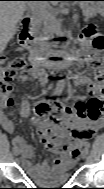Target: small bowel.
Wrapping results in <instances>:
<instances>
[{"label":"small bowel","instance_id":"c3829d8e","mask_svg":"<svg viewBox=\"0 0 104 189\" xmlns=\"http://www.w3.org/2000/svg\"><path fill=\"white\" fill-rule=\"evenodd\" d=\"M29 74L36 77L40 74V70L33 67L23 71L20 78L22 81H26ZM72 80L77 84L87 85L88 92L95 97L90 100H101L103 94V85L98 80H92L84 75H75ZM66 88L65 84H59L56 87L55 94H61ZM89 100V101H90ZM88 102V101H87ZM86 101L79 100L76 103L67 107H62L61 103H53V106L60 108H68L69 111L61 114L59 117H54L51 120H39L40 129H44L49 125H55L61 132V136H58L64 140L62 147H54L47 145V148L54 153V156L49 162H45L38 165H33L31 159L33 157V148L26 142L22 136H15L13 142L16 143L22 156V162L25 168L34 175H40L50 166H67L69 167L74 161L79 158L81 149L85 143V140L92 138L94 133L102 126V114L99 117H95L92 114L88 115L86 109ZM39 106H50L48 102H40L36 106V111ZM8 106L6 103L1 104L0 111V123L3 129L12 133L14 131V123L8 117L6 109ZM32 109V103L28 100H24L21 103L20 117L26 118Z\"/></svg>","mask_w":104,"mask_h":189}]
</instances>
